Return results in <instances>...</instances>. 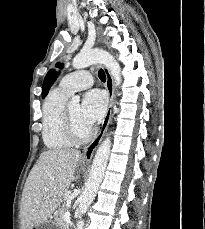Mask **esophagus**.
Segmentation results:
<instances>
[{"instance_id": "34e87169", "label": "esophagus", "mask_w": 205, "mask_h": 229, "mask_svg": "<svg viewBox=\"0 0 205 229\" xmlns=\"http://www.w3.org/2000/svg\"><path fill=\"white\" fill-rule=\"evenodd\" d=\"M105 74H106V88L109 94V105L108 109L105 115V118L103 120L101 129L98 133V135L85 147L84 149V158L85 159H91L98 144L103 139L105 132L108 128L110 119H111V113H112V106H113V96H114V85H113V78L108 68H104Z\"/></svg>"}]
</instances>
